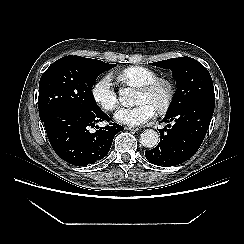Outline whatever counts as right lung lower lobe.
Segmentation results:
<instances>
[{"label": "right lung lower lobe", "instance_id": "obj_1", "mask_svg": "<svg viewBox=\"0 0 244 244\" xmlns=\"http://www.w3.org/2000/svg\"><path fill=\"white\" fill-rule=\"evenodd\" d=\"M40 119L57 155L76 166H87L104 158L116 133L123 130L116 123L99 127L98 122L110 121L109 116L100 108L91 111L58 109ZM90 127H96L97 130L92 133Z\"/></svg>", "mask_w": 244, "mask_h": 244}]
</instances>
